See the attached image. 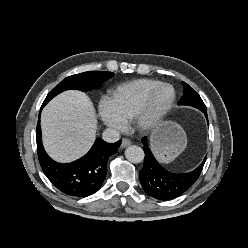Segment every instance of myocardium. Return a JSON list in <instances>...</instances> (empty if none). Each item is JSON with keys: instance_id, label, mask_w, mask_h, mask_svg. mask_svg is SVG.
Listing matches in <instances>:
<instances>
[{"instance_id": "1", "label": "myocardium", "mask_w": 248, "mask_h": 248, "mask_svg": "<svg viewBox=\"0 0 248 248\" xmlns=\"http://www.w3.org/2000/svg\"><path fill=\"white\" fill-rule=\"evenodd\" d=\"M164 88H168L171 90V97L164 105L157 106L156 105L157 95ZM175 100H176V91L174 87L169 83H159L149 92L143 104L139 107V109L135 113V116L133 118V124L135 128L142 132H147L152 130L168 114Z\"/></svg>"}]
</instances>
